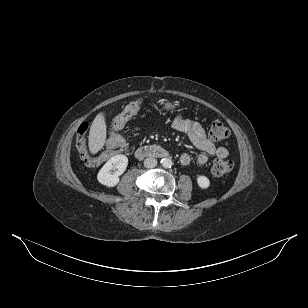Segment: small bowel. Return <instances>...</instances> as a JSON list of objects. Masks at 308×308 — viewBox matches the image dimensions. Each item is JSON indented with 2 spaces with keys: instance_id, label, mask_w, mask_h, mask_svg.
<instances>
[{
  "instance_id": "c3829d8e",
  "label": "small bowel",
  "mask_w": 308,
  "mask_h": 308,
  "mask_svg": "<svg viewBox=\"0 0 308 308\" xmlns=\"http://www.w3.org/2000/svg\"><path fill=\"white\" fill-rule=\"evenodd\" d=\"M172 127L188 136L191 143L201 151L196 157V161L200 165L208 162V155H214L220 158L228 156V150L222 146H216L206 135L204 128L196 121L181 116L176 117L172 122ZM191 157L184 152L180 155V162L188 165Z\"/></svg>"
}]
</instances>
